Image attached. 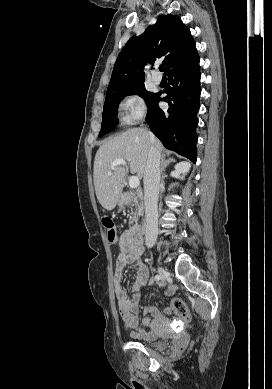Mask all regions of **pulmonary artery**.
I'll return each instance as SVG.
<instances>
[{
    "label": "pulmonary artery",
    "instance_id": "obj_1",
    "mask_svg": "<svg viewBox=\"0 0 272 389\" xmlns=\"http://www.w3.org/2000/svg\"><path fill=\"white\" fill-rule=\"evenodd\" d=\"M161 80H162V77L158 74V73H154L152 75V81L153 83L155 84H160L161 83Z\"/></svg>",
    "mask_w": 272,
    "mask_h": 389
}]
</instances>
